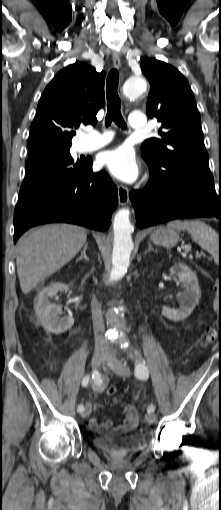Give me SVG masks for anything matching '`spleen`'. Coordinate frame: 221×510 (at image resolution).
I'll return each instance as SVG.
<instances>
[{"mask_svg":"<svg viewBox=\"0 0 221 510\" xmlns=\"http://www.w3.org/2000/svg\"><path fill=\"white\" fill-rule=\"evenodd\" d=\"M167 227L187 231L191 238L218 261L219 236L209 225L200 220H173Z\"/></svg>","mask_w":221,"mask_h":510,"instance_id":"1","label":"spleen"}]
</instances>
